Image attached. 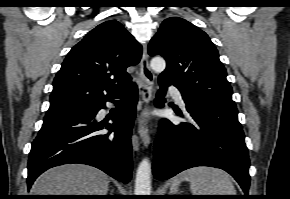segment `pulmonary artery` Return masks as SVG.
<instances>
[{
	"instance_id": "e3ab8cb5",
	"label": "pulmonary artery",
	"mask_w": 290,
	"mask_h": 199,
	"mask_svg": "<svg viewBox=\"0 0 290 199\" xmlns=\"http://www.w3.org/2000/svg\"><path fill=\"white\" fill-rule=\"evenodd\" d=\"M169 91L172 93L173 97L175 98V100L181 105V106H184V101H183V98H182V95L180 93V91L176 88V87H173V86H170L169 87Z\"/></svg>"
}]
</instances>
